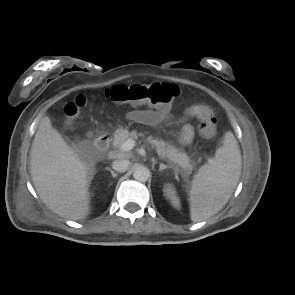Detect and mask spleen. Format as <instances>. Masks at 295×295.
<instances>
[{"mask_svg":"<svg viewBox=\"0 0 295 295\" xmlns=\"http://www.w3.org/2000/svg\"><path fill=\"white\" fill-rule=\"evenodd\" d=\"M241 167L239 146L228 132L215 157L200 167L192 181L189 202L193 222L210 218L225 205L238 184Z\"/></svg>","mask_w":295,"mask_h":295,"instance_id":"spleen-1","label":"spleen"}]
</instances>
